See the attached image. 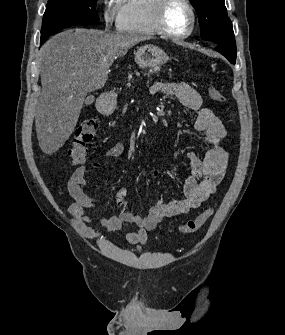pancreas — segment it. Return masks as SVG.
Here are the masks:
<instances>
[{
    "mask_svg": "<svg viewBox=\"0 0 285 335\" xmlns=\"http://www.w3.org/2000/svg\"><path fill=\"white\" fill-rule=\"evenodd\" d=\"M156 72H159V68H152V70H150V74H156ZM136 76L138 78H141L143 76V73L141 71H138L136 73ZM128 79H131V76H128ZM132 85V82L130 80H127L125 82V88H128Z\"/></svg>",
    "mask_w": 285,
    "mask_h": 335,
    "instance_id": "1",
    "label": "pancreas"
}]
</instances>
